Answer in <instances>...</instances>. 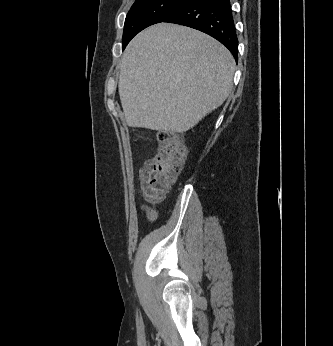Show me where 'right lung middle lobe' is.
<instances>
[{
    "instance_id": "obj_1",
    "label": "right lung middle lobe",
    "mask_w": 333,
    "mask_h": 346,
    "mask_svg": "<svg viewBox=\"0 0 333 346\" xmlns=\"http://www.w3.org/2000/svg\"><path fill=\"white\" fill-rule=\"evenodd\" d=\"M185 0H136L124 24L122 49L146 27L163 22Z\"/></svg>"
}]
</instances>
